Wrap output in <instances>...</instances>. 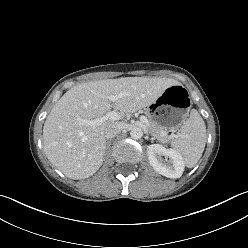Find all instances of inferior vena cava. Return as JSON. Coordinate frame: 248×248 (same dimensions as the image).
Returning a JSON list of instances; mask_svg holds the SVG:
<instances>
[{
  "label": "inferior vena cava",
  "instance_id": "1",
  "mask_svg": "<svg viewBox=\"0 0 248 248\" xmlns=\"http://www.w3.org/2000/svg\"><path fill=\"white\" fill-rule=\"evenodd\" d=\"M122 130V126L120 124H114L105 129V137L107 139H112L116 137Z\"/></svg>",
  "mask_w": 248,
  "mask_h": 248
}]
</instances>
